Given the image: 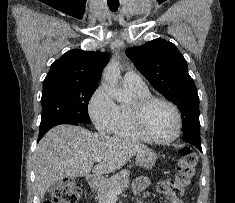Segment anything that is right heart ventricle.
Here are the masks:
<instances>
[{"label":"right heart ventricle","mask_w":235,"mask_h":203,"mask_svg":"<svg viewBox=\"0 0 235 203\" xmlns=\"http://www.w3.org/2000/svg\"><path fill=\"white\" fill-rule=\"evenodd\" d=\"M127 87L134 92L136 98L150 95L148 89H136L129 86ZM117 106V117L110 132L118 138L144 140V138L133 127L129 113V105L120 104Z\"/></svg>","instance_id":"e07e8e85"}]
</instances>
